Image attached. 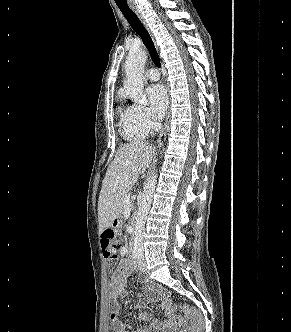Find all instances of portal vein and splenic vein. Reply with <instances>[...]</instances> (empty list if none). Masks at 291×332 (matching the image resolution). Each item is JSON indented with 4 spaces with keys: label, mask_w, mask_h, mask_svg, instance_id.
Instances as JSON below:
<instances>
[{
    "label": "portal vein and splenic vein",
    "mask_w": 291,
    "mask_h": 332,
    "mask_svg": "<svg viewBox=\"0 0 291 332\" xmlns=\"http://www.w3.org/2000/svg\"><path fill=\"white\" fill-rule=\"evenodd\" d=\"M124 203H125V207L126 208H128V207L131 206L132 202H131L130 194L127 196V198L125 199Z\"/></svg>",
    "instance_id": "obj_1"
}]
</instances>
